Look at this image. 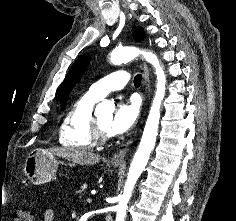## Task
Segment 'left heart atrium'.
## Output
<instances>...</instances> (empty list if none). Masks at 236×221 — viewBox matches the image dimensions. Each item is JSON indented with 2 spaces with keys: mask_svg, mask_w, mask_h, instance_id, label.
<instances>
[{
  "mask_svg": "<svg viewBox=\"0 0 236 221\" xmlns=\"http://www.w3.org/2000/svg\"><path fill=\"white\" fill-rule=\"evenodd\" d=\"M139 113V105L136 100L122 101L117 105V109L108 124V133L117 135L129 130L135 123Z\"/></svg>",
  "mask_w": 236,
  "mask_h": 221,
  "instance_id": "obj_1",
  "label": "left heart atrium"
}]
</instances>
